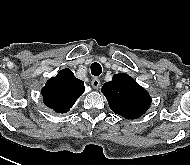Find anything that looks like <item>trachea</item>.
Masks as SVG:
<instances>
[{
  "label": "trachea",
  "mask_w": 190,
  "mask_h": 165,
  "mask_svg": "<svg viewBox=\"0 0 190 165\" xmlns=\"http://www.w3.org/2000/svg\"><path fill=\"white\" fill-rule=\"evenodd\" d=\"M102 72V67L99 63L95 62L91 65V73L94 76H99Z\"/></svg>",
  "instance_id": "1"
}]
</instances>
